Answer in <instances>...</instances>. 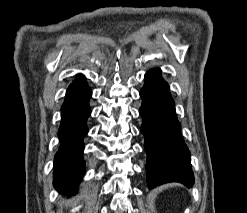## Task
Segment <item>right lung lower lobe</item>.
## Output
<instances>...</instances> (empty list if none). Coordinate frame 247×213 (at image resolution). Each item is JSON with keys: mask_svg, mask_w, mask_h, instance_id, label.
<instances>
[{"mask_svg": "<svg viewBox=\"0 0 247 213\" xmlns=\"http://www.w3.org/2000/svg\"><path fill=\"white\" fill-rule=\"evenodd\" d=\"M91 95L85 78L78 75L68 87L61 108L60 148L54 161V186L61 193L72 194L84 175L83 138L88 132Z\"/></svg>", "mask_w": 247, "mask_h": 213, "instance_id": "obj_1", "label": "right lung lower lobe"}]
</instances>
